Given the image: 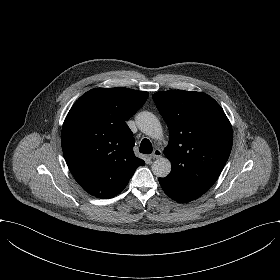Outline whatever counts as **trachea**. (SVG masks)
Here are the masks:
<instances>
[{
  "label": "trachea",
  "instance_id": "3493384b",
  "mask_svg": "<svg viewBox=\"0 0 280 280\" xmlns=\"http://www.w3.org/2000/svg\"><path fill=\"white\" fill-rule=\"evenodd\" d=\"M139 151L143 154L152 153V144L148 139H143L140 144Z\"/></svg>",
  "mask_w": 280,
  "mask_h": 280
}]
</instances>
